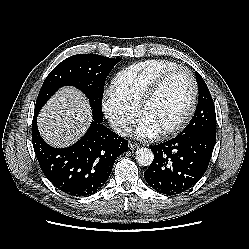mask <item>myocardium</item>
Returning <instances> with one entry per match:
<instances>
[{"label": "myocardium", "mask_w": 249, "mask_h": 249, "mask_svg": "<svg viewBox=\"0 0 249 249\" xmlns=\"http://www.w3.org/2000/svg\"><path fill=\"white\" fill-rule=\"evenodd\" d=\"M178 71H184L188 74L189 79H190V85H191V93H190V99H189V104L184 112V114L172 125L160 130V134L163 136H168L175 134L182 130L190 121L192 118L195 108H196V103H197V97H198V86H197V81L195 78L194 73L191 71L186 66H175L173 68H170L163 73H161L150 85V87L147 89L145 94L143 95L142 99L140 100V103L138 105V114L140 117H143V114L146 110V108L149 106V104L153 101V99L156 97L158 94L159 90L161 89L162 85L164 82L174 73Z\"/></svg>", "instance_id": "1"}]
</instances>
